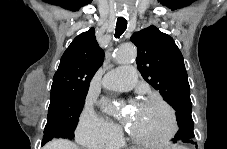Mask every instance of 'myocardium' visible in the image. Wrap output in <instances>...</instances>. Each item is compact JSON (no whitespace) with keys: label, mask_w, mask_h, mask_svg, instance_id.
I'll return each instance as SVG.
<instances>
[{"label":"myocardium","mask_w":227,"mask_h":149,"mask_svg":"<svg viewBox=\"0 0 227 149\" xmlns=\"http://www.w3.org/2000/svg\"><path fill=\"white\" fill-rule=\"evenodd\" d=\"M142 102L143 103L151 102V103H156V104L163 106L168 111L169 116H170V122H171L170 130L162 138L147 139V138H143L141 136L136 135L131 129H129L128 134H129L130 138L132 139V141L134 143H136L138 145H143V146L167 145L173 139V137L176 135V133L178 131V122H177V116H176L175 110L168 102H166L164 99H162L160 97H147V98L143 99Z\"/></svg>","instance_id":"1"}]
</instances>
